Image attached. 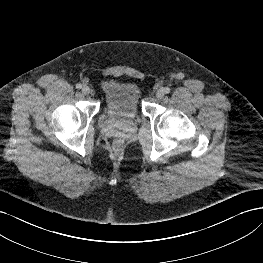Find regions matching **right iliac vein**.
Returning a JSON list of instances; mask_svg holds the SVG:
<instances>
[{
    "instance_id": "obj_1",
    "label": "right iliac vein",
    "mask_w": 263,
    "mask_h": 263,
    "mask_svg": "<svg viewBox=\"0 0 263 263\" xmlns=\"http://www.w3.org/2000/svg\"><path fill=\"white\" fill-rule=\"evenodd\" d=\"M82 93L85 94V95L90 94V88H89V86L84 85V86L82 87Z\"/></svg>"
}]
</instances>
